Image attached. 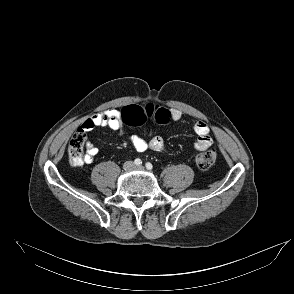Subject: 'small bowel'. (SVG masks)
Listing matches in <instances>:
<instances>
[{
  "label": "small bowel",
  "mask_w": 294,
  "mask_h": 294,
  "mask_svg": "<svg viewBox=\"0 0 294 294\" xmlns=\"http://www.w3.org/2000/svg\"><path fill=\"white\" fill-rule=\"evenodd\" d=\"M171 116L173 121H180L183 113L179 109H171ZM96 127H106L113 131L119 132L121 135L123 131V122L120 118V111L118 109H108L101 113L94 114L82 124L83 131H90ZM193 130L197 134L198 138L194 144V147L198 151H204L209 149L213 145V141L209 135L210 129L204 121H196L193 125ZM130 141L138 152H144L151 150L155 153H162L165 150V142L162 137L154 136L149 140L132 135ZM98 154V148L92 143H87L86 154L84 156V162L90 164L93 162L95 156Z\"/></svg>",
  "instance_id": "1"
}]
</instances>
